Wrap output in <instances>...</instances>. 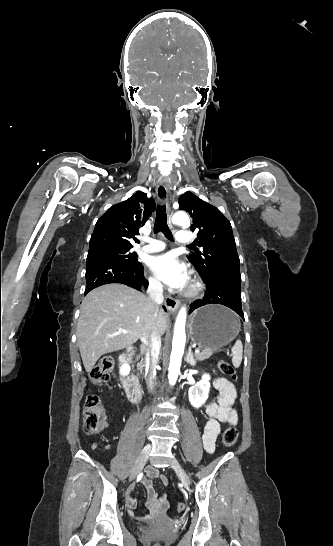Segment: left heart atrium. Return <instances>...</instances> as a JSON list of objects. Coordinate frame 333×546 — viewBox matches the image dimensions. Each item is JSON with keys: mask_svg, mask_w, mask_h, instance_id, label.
<instances>
[{"mask_svg": "<svg viewBox=\"0 0 333 546\" xmlns=\"http://www.w3.org/2000/svg\"><path fill=\"white\" fill-rule=\"evenodd\" d=\"M150 268L160 280L173 288H182L188 281L186 268L172 253L153 257Z\"/></svg>", "mask_w": 333, "mask_h": 546, "instance_id": "obj_1", "label": "left heart atrium"}]
</instances>
